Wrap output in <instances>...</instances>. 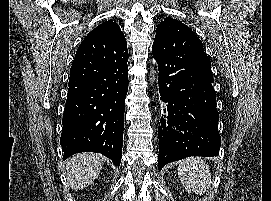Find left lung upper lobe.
Segmentation results:
<instances>
[{
	"mask_svg": "<svg viewBox=\"0 0 271 201\" xmlns=\"http://www.w3.org/2000/svg\"><path fill=\"white\" fill-rule=\"evenodd\" d=\"M180 27H185L189 31L193 33V31L186 25H184L182 22L177 21L171 17L165 18L158 26L156 31V36L154 39L155 45H163V43L177 35V32ZM194 34V33H193ZM195 40H196V46L200 50V57L201 61L207 71L208 78L213 82V75L211 72V62L207 55L204 52L202 42L197 38V36L194 34Z\"/></svg>",
	"mask_w": 271,
	"mask_h": 201,
	"instance_id": "left-lung-upper-lobe-1",
	"label": "left lung upper lobe"
}]
</instances>
